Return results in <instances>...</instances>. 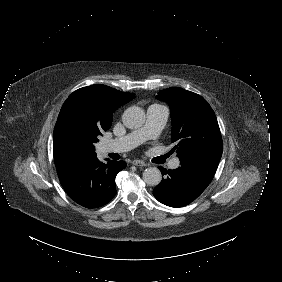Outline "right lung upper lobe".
I'll return each instance as SVG.
<instances>
[{
    "instance_id": "1",
    "label": "right lung upper lobe",
    "mask_w": 282,
    "mask_h": 282,
    "mask_svg": "<svg viewBox=\"0 0 282 282\" xmlns=\"http://www.w3.org/2000/svg\"><path fill=\"white\" fill-rule=\"evenodd\" d=\"M135 94L95 84L73 92L64 102L53 134L56 169L87 157L96 156L92 144L75 137L79 128L89 127L102 132L110 128L113 112L128 103Z\"/></svg>"
}]
</instances>
